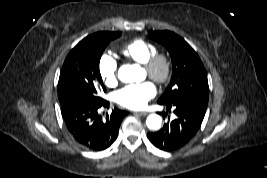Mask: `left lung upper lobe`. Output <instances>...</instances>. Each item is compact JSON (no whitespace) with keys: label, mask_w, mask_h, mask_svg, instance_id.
Returning <instances> with one entry per match:
<instances>
[{"label":"left lung upper lobe","mask_w":267,"mask_h":178,"mask_svg":"<svg viewBox=\"0 0 267 178\" xmlns=\"http://www.w3.org/2000/svg\"><path fill=\"white\" fill-rule=\"evenodd\" d=\"M149 36L168 49L173 64L170 84L158 103H181L206 110L209 98L207 73L197 53L173 32L152 31Z\"/></svg>","instance_id":"left-lung-upper-lobe-1"}]
</instances>
